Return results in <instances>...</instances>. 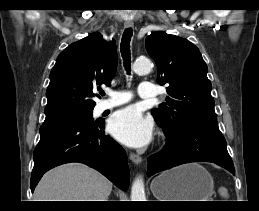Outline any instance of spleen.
Instances as JSON below:
<instances>
[{
	"instance_id": "3e777b00",
	"label": "spleen",
	"mask_w": 259,
	"mask_h": 211,
	"mask_svg": "<svg viewBox=\"0 0 259 211\" xmlns=\"http://www.w3.org/2000/svg\"><path fill=\"white\" fill-rule=\"evenodd\" d=\"M219 194L224 198H228V190L225 187L219 188Z\"/></svg>"
}]
</instances>
